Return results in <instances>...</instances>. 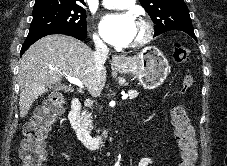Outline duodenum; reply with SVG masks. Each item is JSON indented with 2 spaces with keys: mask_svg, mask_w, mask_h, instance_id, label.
I'll return each mask as SVG.
<instances>
[{
  "mask_svg": "<svg viewBox=\"0 0 227 166\" xmlns=\"http://www.w3.org/2000/svg\"><path fill=\"white\" fill-rule=\"evenodd\" d=\"M82 110L81 100L75 98L71 101L70 110L68 114L69 121L77 134L78 139L89 149L95 150L99 148L107 136V131L99 135H91L87 129L79 121V115Z\"/></svg>",
  "mask_w": 227,
  "mask_h": 166,
  "instance_id": "obj_1",
  "label": "duodenum"
}]
</instances>
